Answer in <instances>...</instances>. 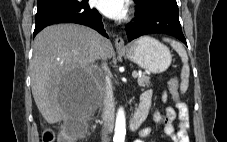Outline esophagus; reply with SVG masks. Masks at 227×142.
<instances>
[{
  "label": "esophagus",
  "instance_id": "1",
  "mask_svg": "<svg viewBox=\"0 0 227 142\" xmlns=\"http://www.w3.org/2000/svg\"><path fill=\"white\" fill-rule=\"evenodd\" d=\"M114 43H115V47L117 49H124V48H126L125 41H124V39L121 36H116V38L114 40Z\"/></svg>",
  "mask_w": 227,
  "mask_h": 142
}]
</instances>
